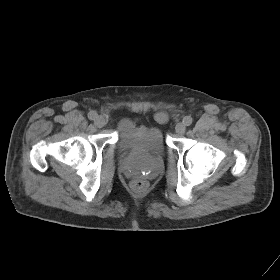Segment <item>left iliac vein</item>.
Segmentation results:
<instances>
[{"instance_id": "1", "label": "left iliac vein", "mask_w": 280, "mask_h": 280, "mask_svg": "<svg viewBox=\"0 0 280 280\" xmlns=\"http://www.w3.org/2000/svg\"><path fill=\"white\" fill-rule=\"evenodd\" d=\"M175 131L177 134L179 135H182L185 133L186 131V126L184 123L180 122V123H177L176 127H175Z\"/></svg>"}]
</instances>
